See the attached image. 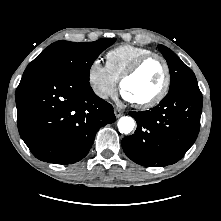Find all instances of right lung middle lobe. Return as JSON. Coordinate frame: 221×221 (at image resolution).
Here are the masks:
<instances>
[{"label": "right lung middle lobe", "instance_id": "right-lung-middle-lobe-1", "mask_svg": "<svg viewBox=\"0 0 221 221\" xmlns=\"http://www.w3.org/2000/svg\"><path fill=\"white\" fill-rule=\"evenodd\" d=\"M115 40L103 38L83 43L64 40L54 42L30 62L25 71L51 70L72 74L89 81L91 65Z\"/></svg>", "mask_w": 221, "mask_h": 221}]
</instances>
